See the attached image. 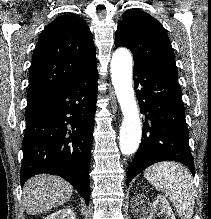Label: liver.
I'll return each instance as SVG.
<instances>
[{"mask_svg":"<svg viewBox=\"0 0 211 219\" xmlns=\"http://www.w3.org/2000/svg\"><path fill=\"white\" fill-rule=\"evenodd\" d=\"M73 187L64 179L48 174L30 178L23 188V206L30 215L47 212L66 203Z\"/></svg>","mask_w":211,"mask_h":219,"instance_id":"liver-1","label":"liver"}]
</instances>
